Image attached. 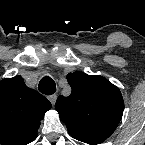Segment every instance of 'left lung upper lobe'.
Instances as JSON below:
<instances>
[{
    "label": "left lung upper lobe",
    "mask_w": 145,
    "mask_h": 145,
    "mask_svg": "<svg viewBox=\"0 0 145 145\" xmlns=\"http://www.w3.org/2000/svg\"><path fill=\"white\" fill-rule=\"evenodd\" d=\"M72 88L70 96H59L56 110L68 130H115L121 120L124 102L119 89L102 76L83 72L67 75Z\"/></svg>",
    "instance_id": "obj_1"
}]
</instances>
